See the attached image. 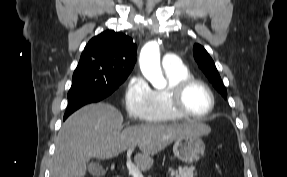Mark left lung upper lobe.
Masks as SVG:
<instances>
[{
    "mask_svg": "<svg viewBox=\"0 0 287 177\" xmlns=\"http://www.w3.org/2000/svg\"><path fill=\"white\" fill-rule=\"evenodd\" d=\"M193 50L194 58L201 70L204 72V74L207 76L213 86L217 89V91L221 93V95L226 99L227 91L218 74L217 68L208 52L203 46L199 44H195Z\"/></svg>",
    "mask_w": 287,
    "mask_h": 177,
    "instance_id": "obj_1",
    "label": "left lung upper lobe"
}]
</instances>
